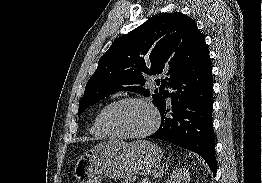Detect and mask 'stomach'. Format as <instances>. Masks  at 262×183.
I'll list each match as a JSON object with an SVG mask.
<instances>
[{"mask_svg": "<svg viewBox=\"0 0 262 183\" xmlns=\"http://www.w3.org/2000/svg\"><path fill=\"white\" fill-rule=\"evenodd\" d=\"M162 149L147 140L130 143L112 139L97 144L75 163L74 176L79 183H101L105 175L114 180L134 174L147 175L160 166Z\"/></svg>", "mask_w": 262, "mask_h": 183, "instance_id": "stomach-1", "label": "stomach"}]
</instances>
